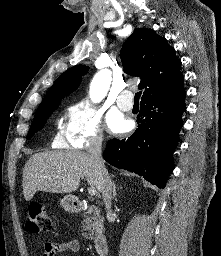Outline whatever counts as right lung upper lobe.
I'll list each match as a JSON object with an SVG mask.
<instances>
[{
	"mask_svg": "<svg viewBox=\"0 0 221 256\" xmlns=\"http://www.w3.org/2000/svg\"><path fill=\"white\" fill-rule=\"evenodd\" d=\"M124 72L141 78L139 89H145L142 100L183 90L181 61L167 40L147 28H136L121 49ZM89 67L76 65L63 73L44 100L64 97L76 90Z\"/></svg>",
	"mask_w": 221,
	"mask_h": 256,
	"instance_id": "1",
	"label": "right lung upper lobe"
}]
</instances>
